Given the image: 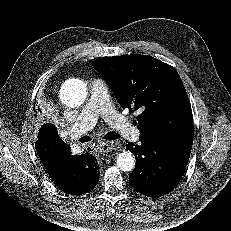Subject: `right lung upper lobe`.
<instances>
[{
  "mask_svg": "<svg viewBox=\"0 0 231 231\" xmlns=\"http://www.w3.org/2000/svg\"><path fill=\"white\" fill-rule=\"evenodd\" d=\"M34 110H35V113H36L35 116L38 117V116H39V112H41L40 109H39V107L36 108V109H35V107H34ZM49 125H51V124H50V123H47V124H45L44 126H49Z\"/></svg>",
  "mask_w": 231,
  "mask_h": 231,
  "instance_id": "1",
  "label": "right lung upper lobe"
}]
</instances>
